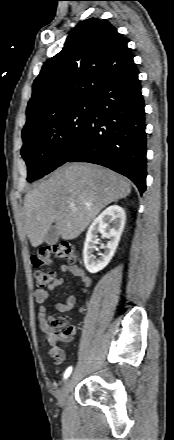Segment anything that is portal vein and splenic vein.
Here are the masks:
<instances>
[{"instance_id":"18ae733b","label":"portal vein and splenic vein","mask_w":174,"mask_h":440,"mask_svg":"<svg viewBox=\"0 0 174 440\" xmlns=\"http://www.w3.org/2000/svg\"><path fill=\"white\" fill-rule=\"evenodd\" d=\"M75 204L74 203H70V207H74ZM87 206H90L89 204H87Z\"/></svg>"}]
</instances>
